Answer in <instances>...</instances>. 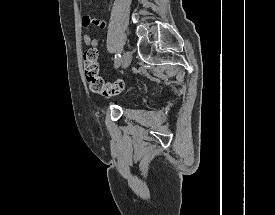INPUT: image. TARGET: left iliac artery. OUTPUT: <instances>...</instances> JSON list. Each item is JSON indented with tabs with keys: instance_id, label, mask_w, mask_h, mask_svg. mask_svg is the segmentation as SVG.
Listing matches in <instances>:
<instances>
[{
	"instance_id": "obj_1",
	"label": "left iliac artery",
	"mask_w": 275,
	"mask_h": 215,
	"mask_svg": "<svg viewBox=\"0 0 275 215\" xmlns=\"http://www.w3.org/2000/svg\"><path fill=\"white\" fill-rule=\"evenodd\" d=\"M120 58H121V55L119 53H117L115 55V61H114V65H115V68H117L120 64Z\"/></svg>"
}]
</instances>
